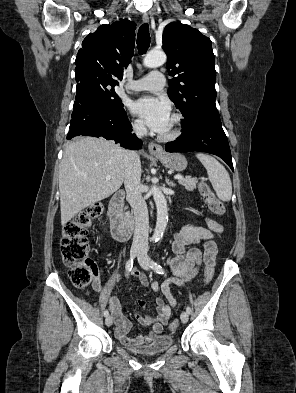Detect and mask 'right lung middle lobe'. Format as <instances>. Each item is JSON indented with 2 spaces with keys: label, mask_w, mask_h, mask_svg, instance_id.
<instances>
[{
  "label": "right lung middle lobe",
  "mask_w": 296,
  "mask_h": 393,
  "mask_svg": "<svg viewBox=\"0 0 296 393\" xmlns=\"http://www.w3.org/2000/svg\"><path fill=\"white\" fill-rule=\"evenodd\" d=\"M76 81L78 84L89 87L111 109L116 111L124 110V105L116 94L114 85L94 77H85Z\"/></svg>",
  "instance_id": "dd1d6c3e"
}]
</instances>
